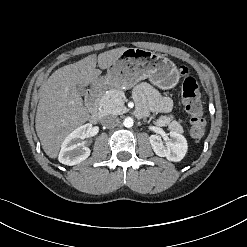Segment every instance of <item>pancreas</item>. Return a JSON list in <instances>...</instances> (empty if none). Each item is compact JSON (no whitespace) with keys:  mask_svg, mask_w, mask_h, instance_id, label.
Returning <instances> with one entry per match:
<instances>
[{"mask_svg":"<svg viewBox=\"0 0 247 247\" xmlns=\"http://www.w3.org/2000/svg\"><path fill=\"white\" fill-rule=\"evenodd\" d=\"M124 93L118 89H110L100 100V107L105 114H121L126 111L123 102ZM157 126L168 125L169 130L183 133V127L178 121L173 120L172 116H161L155 121Z\"/></svg>","mask_w":247,"mask_h":247,"instance_id":"pancreas-1","label":"pancreas"}]
</instances>
